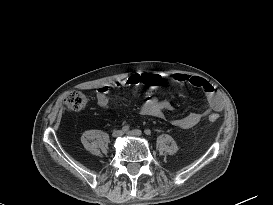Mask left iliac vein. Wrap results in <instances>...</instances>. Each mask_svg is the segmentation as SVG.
<instances>
[{
  "instance_id": "4c4485c4",
  "label": "left iliac vein",
  "mask_w": 273,
  "mask_h": 205,
  "mask_svg": "<svg viewBox=\"0 0 273 205\" xmlns=\"http://www.w3.org/2000/svg\"><path fill=\"white\" fill-rule=\"evenodd\" d=\"M129 135L132 136H141L142 135V131L138 130V129H133L131 131L128 132Z\"/></svg>"
}]
</instances>
